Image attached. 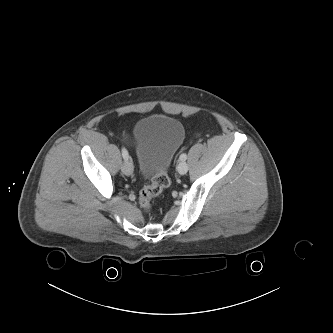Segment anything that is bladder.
<instances>
[{
  "label": "bladder",
  "mask_w": 333,
  "mask_h": 333,
  "mask_svg": "<svg viewBox=\"0 0 333 333\" xmlns=\"http://www.w3.org/2000/svg\"><path fill=\"white\" fill-rule=\"evenodd\" d=\"M185 138L183 124L166 115L139 120L133 128V144L141 174L151 178L166 171Z\"/></svg>",
  "instance_id": "bladder-1"
}]
</instances>
